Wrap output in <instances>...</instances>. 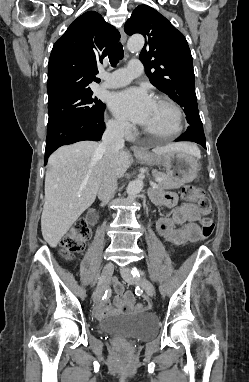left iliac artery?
Segmentation results:
<instances>
[{
  "mask_svg": "<svg viewBox=\"0 0 249 382\" xmlns=\"http://www.w3.org/2000/svg\"><path fill=\"white\" fill-rule=\"evenodd\" d=\"M133 277L139 278L144 273L141 270H138L137 268H133L131 271Z\"/></svg>",
  "mask_w": 249,
  "mask_h": 382,
  "instance_id": "44dca946",
  "label": "left iliac artery"
}]
</instances>
